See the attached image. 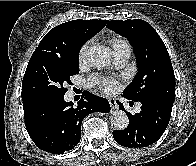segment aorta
I'll return each mask as SVG.
<instances>
[{
  "mask_svg": "<svg viewBox=\"0 0 196 166\" xmlns=\"http://www.w3.org/2000/svg\"><path fill=\"white\" fill-rule=\"evenodd\" d=\"M89 61L96 68H104L112 61V53L109 48L99 45L94 46L89 51ZM111 125L116 130H123L129 124L127 114L122 110H116L111 113Z\"/></svg>",
  "mask_w": 196,
  "mask_h": 166,
  "instance_id": "1",
  "label": "aorta"
}]
</instances>
